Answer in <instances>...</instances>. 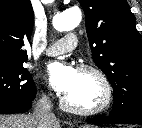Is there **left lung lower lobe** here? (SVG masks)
<instances>
[{
    "mask_svg": "<svg viewBox=\"0 0 142 128\" xmlns=\"http://www.w3.org/2000/svg\"><path fill=\"white\" fill-rule=\"evenodd\" d=\"M89 123L102 124H140L142 125V110H134L122 114H112L109 116H96L87 120Z\"/></svg>",
    "mask_w": 142,
    "mask_h": 128,
    "instance_id": "1",
    "label": "left lung lower lobe"
}]
</instances>
